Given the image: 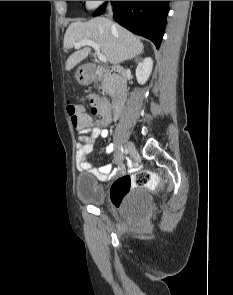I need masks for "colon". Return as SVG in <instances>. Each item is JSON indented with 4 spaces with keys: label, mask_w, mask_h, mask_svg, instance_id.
Instances as JSON below:
<instances>
[{
    "label": "colon",
    "mask_w": 233,
    "mask_h": 295,
    "mask_svg": "<svg viewBox=\"0 0 233 295\" xmlns=\"http://www.w3.org/2000/svg\"><path fill=\"white\" fill-rule=\"evenodd\" d=\"M67 112L76 129L79 130L91 126V117L85 112L81 105L68 102ZM91 114L101 116V118L105 115V111L93 99L91 100ZM159 184V176L148 170H140L133 174H124L118 177L110 187L111 202L116 207H119L134 188L146 187L154 189L158 187Z\"/></svg>",
    "instance_id": "colon-1"
}]
</instances>
